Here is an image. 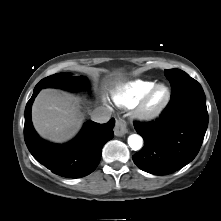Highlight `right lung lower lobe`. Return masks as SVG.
Masks as SVG:
<instances>
[{
    "label": "right lung lower lobe",
    "instance_id": "98d812e1",
    "mask_svg": "<svg viewBox=\"0 0 221 221\" xmlns=\"http://www.w3.org/2000/svg\"><path fill=\"white\" fill-rule=\"evenodd\" d=\"M41 89L35 87L25 108L24 138L30 153L59 176L79 178L90 174L99 164L103 145L114 136L115 120L105 124L87 121L72 141L63 145L49 143L38 136L31 121V106Z\"/></svg>",
    "mask_w": 221,
    "mask_h": 221
}]
</instances>
